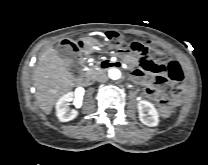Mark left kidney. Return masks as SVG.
<instances>
[{
    "label": "left kidney",
    "instance_id": "1",
    "mask_svg": "<svg viewBox=\"0 0 208 165\" xmlns=\"http://www.w3.org/2000/svg\"><path fill=\"white\" fill-rule=\"evenodd\" d=\"M140 121L149 126L155 127L159 123V114L152 103L142 100L137 104Z\"/></svg>",
    "mask_w": 208,
    "mask_h": 165
}]
</instances>
